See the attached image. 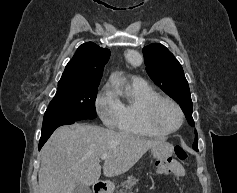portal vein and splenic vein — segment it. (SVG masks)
Masks as SVG:
<instances>
[{
  "label": "portal vein and splenic vein",
  "mask_w": 237,
  "mask_h": 193,
  "mask_svg": "<svg viewBox=\"0 0 237 193\" xmlns=\"http://www.w3.org/2000/svg\"><path fill=\"white\" fill-rule=\"evenodd\" d=\"M100 158H101L102 160H105V159L107 158V155H106V154H103V155L100 156Z\"/></svg>",
  "instance_id": "portal-vein-and-splenic-vein-1"
}]
</instances>
